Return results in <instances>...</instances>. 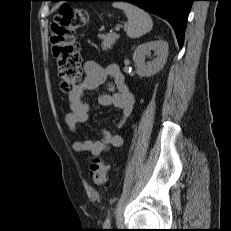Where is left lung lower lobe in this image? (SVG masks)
Returning a JSON list of instances; mask_svg holds the SVG:
<instances>
[{
    "label": "left lung lower lobe",
    "mask_w": 231,
    "mask_h": 231,
    "mask_svg": "<svg viewBox=\"0 0 231 231\" xmlns=\"http://www.w3.org/2000/svg\"><path fill=\"white\" fill-rule=\"evenodd\" d=\"M60 1V0H53ZM88 1H127L167 20L173 27L179 46L184 42L187 18L194 0H88Z\"/></svg>",
    "instance_id": "obj_1"
}]
</instances>
